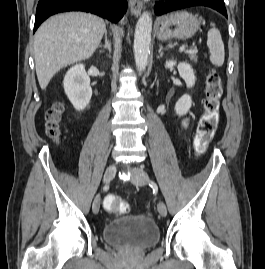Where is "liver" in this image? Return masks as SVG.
Masks as SVG:
<instances>
[{"instance_id": "liver-1", "label": "liver", "mask_w": 265, "mask_h": 269, "mask_svg": "<svg viewBox=\"0 0 265 269\" xmlns=\"http://www.w3.org/2000/svg\"><path fill=\"white\" fill-rule=\"evenodd\" d=\"M106 31L103 19L83 12L58 14L47 19L34 36V59L41 89L60 69L88 59Z\"/></svg>"}]
</instances>
